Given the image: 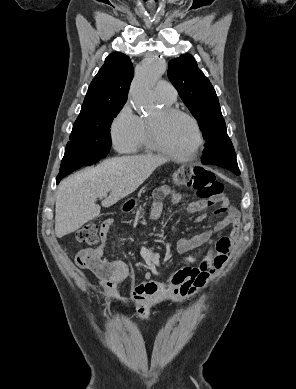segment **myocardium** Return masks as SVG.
Segmentation results:
<instances>
[{"mask_svg":"<svg viewBox=\"0 0 296 389\" xmlns=\"http://www.w3.org/2000/svg\"><path fill=\"white\" fill-rule=\"evenodd\" d=\"M162 114L164 116H182L188 119L194 127L196 142L193 148L188 153L177 154L162 144V142L159 140L157 136L153 123L147 120L146 121L147 138L151 149L177 161L187 162L193 160L200 152L204 143L203 133L198 120L189 112L171 105H165L162 108Z\"/></svg>","mask_w":296,"mask_h":389,"instance_id":"1","label":"myocardium"}]
</instances>
